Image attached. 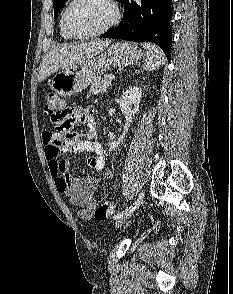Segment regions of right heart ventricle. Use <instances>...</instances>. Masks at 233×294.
<instances>
[{"mask_svg": "<svg viewBox=\"0 0 233 294\" xmlns=\"http://www.w3.org/2000/svg\"><path fill=\"white\" fill-rule=\"evenodd\" d=\"M60 34L64 39L70 40L73 39L71 36H69L66 31L63 28V24H62V17L60 19Z\"/></svg>", "mask_w": 233, "mask_h": 294, "instance_id": "obj_1", "label": "right heart ventricle"}]
</instances>
